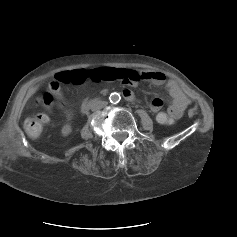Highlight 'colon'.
Returning a JSON list of instances; mask_svg holds the SVG:
<instances>
[{"label":"colon","mask_w":237,"mask_h":237,"mask_svg":"<svg viewBox=\"0 0 237 237\" xmlns=\"http://www.w3.org/2000/svg\"><path fill=\"white\" fill-rule=\"evenodd\" d=\"M142 80L138 71L122 68H98L92 70L78 69L60 72L50 84L49 91L41 96L42 103L49 109L53 103V97L61 94L62 88L67 85H81L86 81L101 82L112 81L125 85H137ZM156 120L161 125H171L174 118L168 112H159ZM49 121L47 111L40 112L24 122V129L31 138H38L45 124Z\"/></svg>","instance_id":"obj_1"}]
</instances>
